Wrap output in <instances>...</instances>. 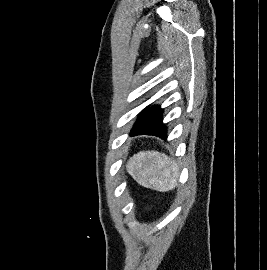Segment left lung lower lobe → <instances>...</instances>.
I'll list each match as a JSON object with an SVG mask.
<instances>
[{
  "label": "left lung lower lobe",
  "mask_w": 267,
  "mask_h": 270,
  "mask_svg": "<svg viewBox=\"0 0 267 270\" xmlns=\"http://www.w3.org/2000/svg\"><path fill=\"white\" fill-rule=\"evenodd\" d=\"M162 114L163 109L160 106H152L137 120L129 135L146 134L166 138L167 128L163 124Z\"/></svg>",
  "instance_id": "left-lung-lower-lobe-1"
}]
</instances>
